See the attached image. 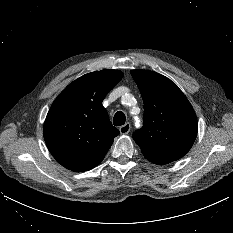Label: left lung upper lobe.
<instances>
[{
  "label": "left lung upper lobe",
  "instance_id": "1",
  "mask_svg": "<svg viewBox=\"0 0 233 233\" xmlns=\"http://www.w3.org/2000/svg\"><path fill=\"white\" fill-rule=\"evenodd\" d=\"M144 102V126L133 139L152 162L170 163L192 147L198 131L196 114L182 91L153 71L132 70Z\"/></svg>",
  "mask_w": 233,
  "mask_h": 233
}]
</instances>
